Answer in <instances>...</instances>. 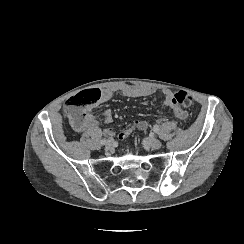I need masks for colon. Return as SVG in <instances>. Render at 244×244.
Returning a JSON list of instances; mask_svg holds the SVG:
<instances>
[{
  "mask_svg": "<svg viewBox=\"0 0 244 244\" xmlns=\"http://www.w3.org/2000/svg\"><path fill=\"white\" fill-rule=\"evenodd\" d=\"M172 104L179 107H191L193 105V99L191 95L184 90H180L174 93L172 98ZM66 111L71 119V123L74 128H83L89 123V116L85 114L84 107L80 105H73L70 101L66 105ZM128 130L124 131L119 138L122 139L125 136H130V133L138 126L137 122Z\"/></svg>",
  "mask_w": 244,
  "mask_h": 244,
  "instance_id": "5ec220e1",
  "label": "colon"
}]
</instances>
